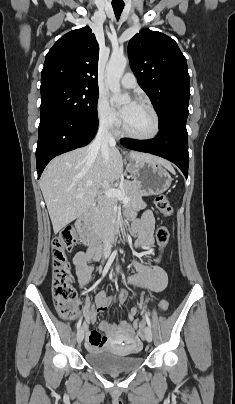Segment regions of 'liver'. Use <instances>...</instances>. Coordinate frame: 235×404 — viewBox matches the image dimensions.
Instances as JSON below:
<instances>
[{"label": "liver", "instance_id": "liver-1", "mask_svg": "<svg viewBox=\"0 0 235 404\" xmlns=\"http://www.w3.org/2000/svg\"><path fill=\"white\" fill-rule=\"evenodd\" d=\"M129 157L132 160L154 158L171 169L168 161L150 154L131 151ZM122 172V156L114 145L110 146L108 159L103 158L100 149L92 152L91 144L54 158L40 179L54 233L87 212L98 189H108ZM87 182H92V186Z\"/></svg>", "mask_w": 235, "mask_h": 404}]
</instances>
